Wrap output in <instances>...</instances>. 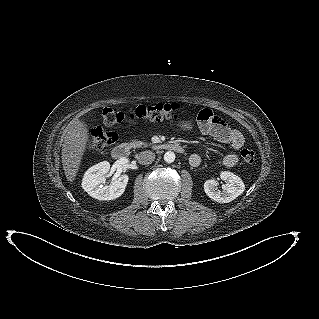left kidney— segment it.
<instances>
[{"mask_svg": "<svg viewBox=\"0 0 319 319\" xmlns=\"http://www.w3.org/2000/svg\"><path fill=\"white\" fill-rule=\"evenodd\" d=\"M220 178L226 183L222 186V191L217 188V182L214 179L207 180L204 183V191L212 200L219 203H228L244 192L245 185L238 175L230 171H222Z\"/></svg>", "mask_w": 319, "mask_h": 319, "instance_id": "5707ae66", "label": "left kidney"}]
</instances>
